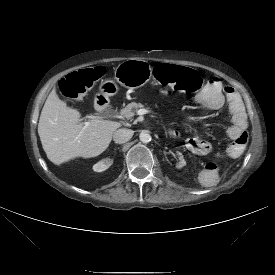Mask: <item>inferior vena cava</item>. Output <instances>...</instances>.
<instances>
[{"mask_svg": "<svg viewBox=\"0 0 275 275\" xmlns=\"http://www.w3.org/2000/svg\"><path fill=\"white\" fill-rule=\"evenodd\" d=\"M133 136L131 129L121 128L113 133V140L115 143L122 144L129 141Z\"/></svg>", "mask_w": 275, "mask_h": 275, "instance_id": "602c4592", "label": "inferior vena cava"}]
</instances>
